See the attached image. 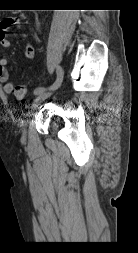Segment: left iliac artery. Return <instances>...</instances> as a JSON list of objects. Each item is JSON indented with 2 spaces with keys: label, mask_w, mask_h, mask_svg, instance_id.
<instances>
[{
  "label": "left iliac artery",
  "mask_w": 138,
  "mask_h": 253,
  "mask_svg": "<svg viewBox=\"0 0 138 253\" xmlns=\"http://www.w3.org/2000/svg\"><path fill=\"white\" fill-rule=\"evenodd\" d=\"M56 73H57V78H56L55 82L49 87V89L50 88H58L62 83L64 72L60 66H57ZM46 89L47 88H45V87H38L34 90V94L39 95L42 92H44Z\"/></svg>",
  "instance_id": "1"
}]
</instances>
